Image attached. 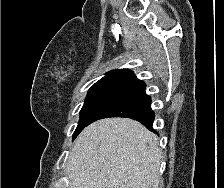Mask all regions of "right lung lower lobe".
Instances as JSON below:
<instances>
[{"label":"right lung lower lobe","instance_id":"obj_1","mask_svg":"<svg viewBox=\"0 0 224 188\" xmlns=\"http://www.w3.org/2000/svg\"><path fill=\"white\" fill-rule=\"evenodd\" d=\"M145 88L143 81L132 80L93 115L89 124L108 117H125L137 120L155 132L152 129L155 114L151 109V97L145 93Z\"/></svg>","mask_w":224,"mask_h":188}]
</instances>
